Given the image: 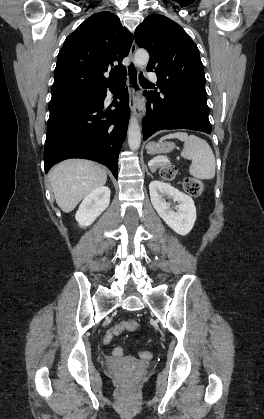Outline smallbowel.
<instances>
[{
  "label": "small bowel",
  "mask_w": 264,
  "mask_h": 419,
  "mask_svg": "<svg viewBox=\"0 0 264 419\" xmlns=\"http://www.w3.org/2000/svg\"><path fill=\"white\" fill-rule=\"evenodd\" d=\"M109 331H115L116 334L120 333L121 330H120L119 324H117L114 328H112ZM112 354H113L114 357H121L124 354L123 348L122 347H116V348H114Z\"/></svg>",
  "instance_id": "small-bowel-1"
}]
</instances>
